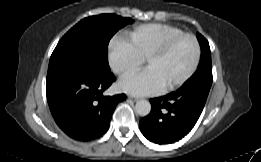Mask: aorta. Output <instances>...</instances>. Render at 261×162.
I'll use <instances>...</instances> for the list:
<instances>
[{"label":"aorta","mask_w":261,"mask_h":162,"mask_svg":"<svg viewBox=\"0 0 261 162\" xmlns=\"http://www.w3.org/2000/svg\"><path fill=\"white\" fill-rule=\"evenodd\" d=\"M136 113L140 116H147L151 111V104L147 100H138L135 105Z\"/></svg>","instance_id":"1"}]
</instances>
